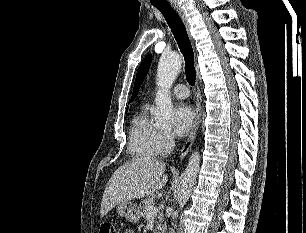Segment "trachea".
I'll return each mask as SVG.
<instances>
[{"instance_id": "trachea-1", "label": "trachea", "mask_w": 306, "mask_h": 233, "mask_svg": "<svg viewBox=\"0 0 306 233\" xmlns=\"http://www.w3.org/2000/svg\"><path fill=\"white\" fill-rule=\"evenodd\" d=\"M165 17L171 31L177 41L180 51L185 60V74L186 79L190 85L195 84L196 73L194 67V52L191 42L186 32L180 16L171 7L170 4H153Z\"/></svg>"}]
</instances>
